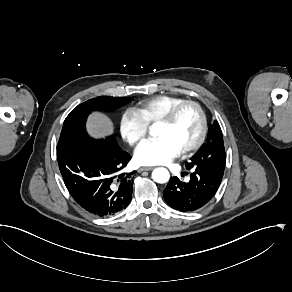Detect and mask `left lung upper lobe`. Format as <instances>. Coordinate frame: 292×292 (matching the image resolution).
Listing matches in <instances>:
<instances>
[{
	"label": "left lung upper lobe",
	"mask_w": 292,
	"mask_h": 292,
	"mask_svg": "<svg viewBox=\"0 0 292 292\" xmlns=\"http://www.w3.org/2000/svg\"><path fill=\"white\" fill-rule=\"evenodd\" d=\"M186 165L205 173L223 174L225 169V148L222 131L216 120L209 126L206 143L201 146Z\"/></svg>",
	"instance_id": "left-lung-upper-lobe-1"
}]
</instances>
